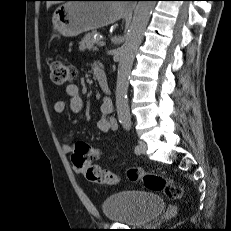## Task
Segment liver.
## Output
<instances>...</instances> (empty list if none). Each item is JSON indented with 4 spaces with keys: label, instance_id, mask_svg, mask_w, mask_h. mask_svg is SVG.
Wrapping results in <instances>:
<instances>
[{
    "label": "liver",
    "instance_id": "6515ba94",
    "mask_svg": "<svg viewBox=\"0 0 231 231\" xmlns=\"http://www.w3.org/2000/svg\"><path fill=\"white\" fill-rule=\"evenodd\" d=\"M51 5V3H48V7Z\"/></svg>",
    "mask_w": 231,
    "mask_h": 231
}]
</instances>
